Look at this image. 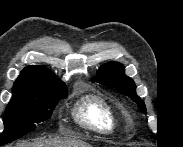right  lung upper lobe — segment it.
I'll return each mask as SVG.
<instances>
[{
  "mask_svg": "<svg viewBox=\"0 0 183 147\" xmlns=\"http://www.w3.org/2000/svg\"><path fill=\"white\" fill-rule=\"evenodd\" d=\"M65 84L59 80L52 72L41 66L26 67L15 81L13 89L20 88H44L59 89Z\"/></svg>",
  "mask_w": 183,
  "mask_h": 147,
  "instance_id": "obj_1",
  "label": "right lung upper lobe"
}]
</instances>
